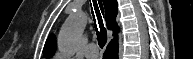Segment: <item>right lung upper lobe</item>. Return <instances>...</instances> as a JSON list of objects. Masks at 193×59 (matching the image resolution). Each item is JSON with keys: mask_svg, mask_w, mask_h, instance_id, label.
<instances>
[{"mask_svg": "<svg viewBox=\"0 0 193 59\" xmlns=\"http://www.w3.org/2000/svg\"><path fill=\"white\" fill-rule=\"evenodd\" d=\"M104 7H105V18H106V25L108 29H114V35L115 38L117 39V32H118V26L115 22L116 15L118 12V5L116 0H103ZM113 39V40H114ZM56 48V40L54 35H51L48 37L46 40L44 49H43V54L45 57H50L54 54Z\"/></svg>", "mask_w": 193, "mask_h": 59, "instance_id": "right-lung-upper-lobe-1", "label": "right lung upper lobe"}]
</instances>
